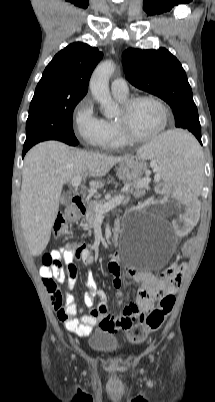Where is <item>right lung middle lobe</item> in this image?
I'll return each instance as SVG.
<instances>
[{"mask_svg": "<svg viewBox=\"0 0 215 402\" xmlns=\"http://www.w3.org/2000/svg\"><path fill=\"white\" fill-rule=\"evenodd\" d=\"M81 98L37 95L33 97L26 122L24 146L32 147L45 140L79 144L73 132V110Z\"/></svg>", "mask_w": 215, "mask_h": 402, "instance_id": "1", "label": "right lung middle lobe"}]
</instances>
